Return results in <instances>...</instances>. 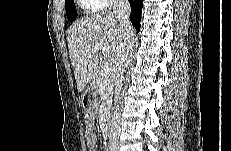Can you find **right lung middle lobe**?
I'll return each mask as SVG.
<instances>
[{"label": "right lung middle lobe", "instance_id": "obj_1", "mask_svg": "<svg viewBox=\"0 0 231 151\" xmlns=\"http://www.w3.org/2000/svg\"><path fill=\"white\" fill-rule=\"evenodd\" d=\"M65 7H66L67 18L69 21L72 22L77 17V11H76L74 0H68L67 2H65Z\"/></svg>", "mask_w": 231, "mask_h": 151}]
</instances>
